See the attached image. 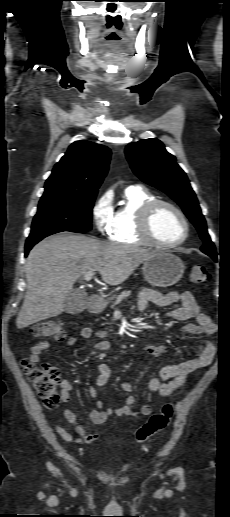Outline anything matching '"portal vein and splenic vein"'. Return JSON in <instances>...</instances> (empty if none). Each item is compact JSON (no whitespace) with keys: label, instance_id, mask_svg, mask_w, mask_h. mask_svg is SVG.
<instances>
[{"label":"portal vein and splenic vein","instance_id":"obj_1","mask_svg":"<svg viewBox=\"0 0 230 517\" xmlns=\"http://www.w3.org/2000/svg\"><path fill=\"white\" fill-rule=\"evenodd\" d=\"M94 273L92 271H89L87 272L85 275H84V280L85 281H90L93 277Z\"/></svg>","mask_w":230,"mask_h":517}]
</instances>
